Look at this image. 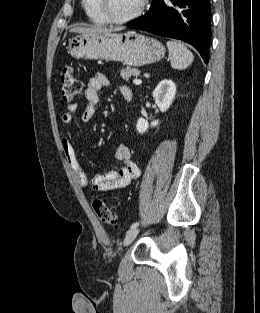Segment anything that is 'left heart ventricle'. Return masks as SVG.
Instances as JSON below:
<instances>
[{
	"label": "left heart ventricle",
	"instance_id": "1",
	"mask_svg": "<svg viewBox=\"0 0 260 313\" xmlns=\"http://www.w3.org/2000/svg\"><path fill=\"white\" fill-rule=\"evenodd\" d=\"M108 9L115 17H125L136 10L141 0H108Z\"/></svg>",
	"mask_w": 260,
	"mask_h": 313
}]
</instances>
